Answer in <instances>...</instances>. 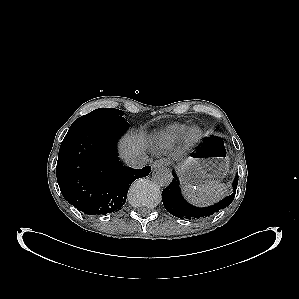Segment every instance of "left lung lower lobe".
Here are the masks:
<instances>
[{
    "instance_id": "left-lung-lower-lobe-1",
    "label": "left lung lower lobe",
    "mask_w": 299,
    "mask_h": 299,
    "mask_svg": "<svg viewBox=\"0 0 299 299\" xmlns=\"http://www.w3.org/2000/svg\"><path fill=\"white\" fill-rule=\"evenodd\" d=\"M173 180L168 187H166L162 192V200L165 209L175 217L180 219H200L208 217L215 212L229 206L236 193V188L238 185V175L235 176L233 182V194L225 197L222 201L213 206L206 208H198L187 203L181 195V190L179 187V180L175 172H172Z\"/></svg>"
}]
</instances>
